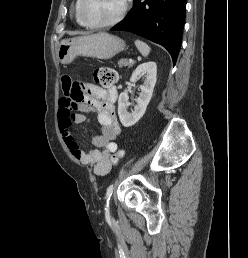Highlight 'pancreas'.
Returning <instances> with one entry per match:
<instances>
[{
  "label": "pancreas",
  "instance_id": "cf45deb5",
  "mask_svg": "<svg viewBox=\"0 0 248 258\" xmlns=\"http://www.w3.org/2000/svg\"><path fill=\"white\" fill-rule=\"evenodd\" d=\"M133 64H134L133 62H129V61L126 60V59H121V60L118 62L119 67L132 66Z\"/></svg>",
  "mask_w": 248,
  "mask_h": 258
}]
</instances>
